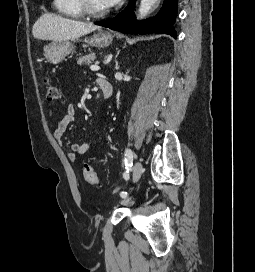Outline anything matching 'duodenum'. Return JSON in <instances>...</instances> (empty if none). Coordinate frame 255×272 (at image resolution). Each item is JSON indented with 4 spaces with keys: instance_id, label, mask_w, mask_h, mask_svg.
Here are the masks:
<instances>
[{
    "instance_id": "1",
    "label": "duodenum",
    "mask_w": 255,
    "mask_h": 272,
    "mask_svg": "<svg viewBox=\"0 0 255 272\" xmlns=\"http://www.w3.org/2000/svg\"><path fill=\"white\" fill-rule=\"evenodd\" d=\"M97 82L102 92L103 98L104 99L110 98L113 94V87L110 81L106 78H98Z\"/></svg>"
}]
</instances>
